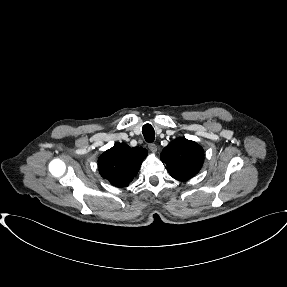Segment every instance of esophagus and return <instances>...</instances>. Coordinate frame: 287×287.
<instances>
[{
    "instance_id": "34e87169",
    "label": "esophagus",
    "mask_w": 287,
    "mask_h": 287,
    "mask_svg": "<svg viewBox=\"0 0 287 287\" xmlns=\"http://www.w3.org/2000/svg\"><path fill=\"white\" fill-rule=\"evenodd\" d=\"M148 148H149V150L151 151V152H153V153H156L157 152V145L156 144H154V143H151V144H149L148 145Z\"/></svg>"
}]
</instances>
